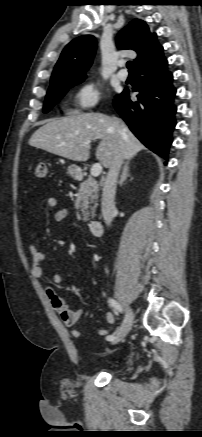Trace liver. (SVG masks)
<instances>
[{
  "label": "liver",
  "instance_id": "6515ba94",
  "mask_svg": "<svg viewBox=\"0 0 202 437\" xmlns=\"http://www.w3.org/2000/svg\"><path fill=\"white\" fill-rule=\"evenodd\" d=\"M100 139L96 159L105 167L119 158L131 159L144 146L126 124L102 113H88L52 119L40 127L29 140V145L62 156L85 162L89 159L91 141ZM87 141H90L86 144Z\"/></svg>",
  "mask_w": 202,
  "mask_h": 437
}]
</instances>
